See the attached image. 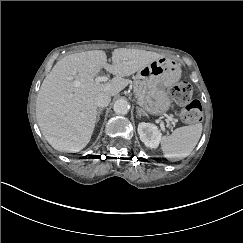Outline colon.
Instances as JSON below:
<instances>
[{"label":"colon","mask_w":243,"mask_h":243,"mask_svg":"<svg viewBox=\"0 0 243 243\" xmlns=\"http://www.w3.org/2000/svg\"><path fill=\"white\" fill-rule=\"evenodd\" d=\"M173 99L183 106L180 117L184 123L201 120L202 107L198 100H192V87L188 82H180L172 89Z\"/></svg>","instance_id":"1"}]
</instances>
